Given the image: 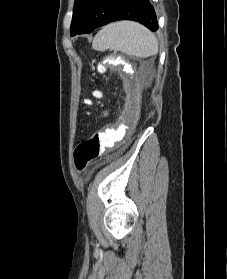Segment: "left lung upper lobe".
Masks as SVG:
<instances>
[{
  "mask_svg": "<svg viewBox=\"0 0 227 279\" xmlns=\"http://www.w3.org/2000/svg\"><path fill=\"white\" fill-rule=\"evenodd\" d=\"M93 0H75L73 18L70 26L71 36L80 30L83 25L87 11Z\"/></svg>",
  "mask_w": 227,
  "mask_h": 279,
  "instance_id": "obj_1",
  "label": "left lung upper lobe"
}]
</instances>
